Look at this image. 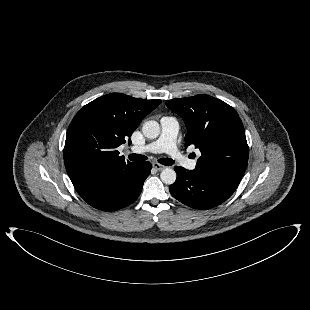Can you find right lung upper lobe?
Wrapping results in <instances>:
<instances>
[{
	"instance_id": "obj_1",
	"label": "right lung upper lobe",
	"mask_w": 310,
	"mask_h": 310,
	"mask_svg": "<svg viewBox=\"0 0 310 310\" xmlns=\"http://www.w3.org/2000/svg\"><path fill=\"white\" fill-rule=\"evenodd\" d=\"M160 103L161 100L111 93L82 107L67 130L63 151L73 185L131 165L132 162L119 156L116 148L126 142L143 118Z\"/></svg>"
}]
</instances>
